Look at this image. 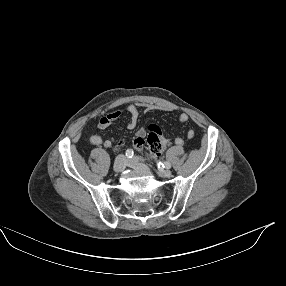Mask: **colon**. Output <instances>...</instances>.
<instances>
[{
  "label": "colon",
  "mask_w": 286,
  "mask_h": 286,
  "mask_svg": "<svg viewBox=\"0 0 286 286\" xmlns=\"http://www.w3.org/2000/svg\"><path fill=\"white\" fill-rule=\"evenodd\" d=\"M166 139L163 136L161 129L156 125L149 126V133L147 137L144 138H137L135 141L136 147L141 148L144 143H147L154 153H160L164 146L163 140Z\"/></svg>",
  "instance_id": "5ec220e1"
}]
</instances>
